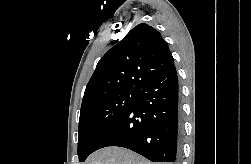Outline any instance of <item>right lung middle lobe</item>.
Listing matches in <instances>:
<instances>
[{
	"label": "right lung middle lobe",
	"instance_id": "1",
	"mask_svg": "<svg viewBox=\"0 0 251 164\" xmlns=\"http://www.w3.org/2000/svg\"><path fill=\"white\" fill-rule=\"evenodd\" d=\"M138 89H121L98 96L81 107L79 119V162L94 152V148L109 129L133 105Z\"/></svg>",
	"mask_w": 251,
	"mask_h": 164
}]
</instances>
